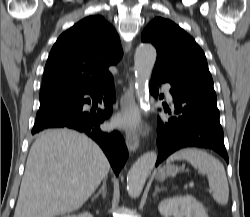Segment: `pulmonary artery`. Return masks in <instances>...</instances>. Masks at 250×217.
<instances>
[{
	"instance_id": "obj_1",
	"label": "pulmonary artery",
	"mask_w": 250,
	"mask_h": 217,
	"mask_svg": "<svg viewBox=\"0 0 250 217\" xmlns=\"http://www.w3.org/2000/svg\"><path fill=\"white\" fill-rule=\"evenodd\" d=\"M161 88L165 92L167 99L169 101H172V96L170 94V86L168 84H162Z\"/></svg>"
}]
</instances>
